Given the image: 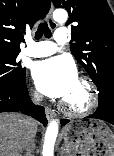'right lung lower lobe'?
Masks as SVG:
<instances>
[{"label": "right lung lower lobe", "mask_w": 114, "mask_h": 156, "mask_svg": "<svg viewBox=\"0 0 114 156\" xmlns=\"http://www.w3.org/2000/svg\"><path fill=\"white\" fill-rule=\"evenodd\" d=\"M22 112L40 121L44 126L48 121L45 110L34 105L30 100L25 80L22 85L14 89L0 88V112Z\"/></svg>", "instance_id": "right-lung-lower-lobe-1"}]
</instances>
